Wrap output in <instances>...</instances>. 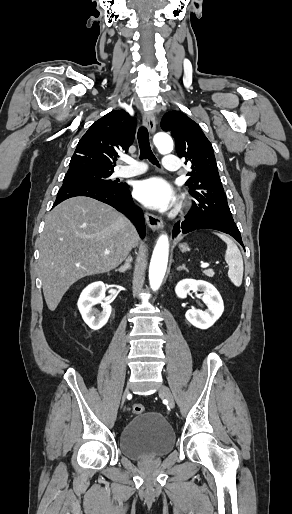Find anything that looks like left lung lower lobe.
<instances>
[{"mask_svg": "<svg viewBox=\"0 0 292 514\" xmlns=\"http://www.w3.org/2000/svg\"><path fill=\"white\" fill-rule=\"evenodd\" d=\"M196 229H214L222 231L231 235L244 247L240 231L232 217L221 215H202L199 208H195V205L193 204L192 208L185 216V220L182 222L179 221L174 225L172 235L173 237H176L180 232L185 234Z\"/></svg>", "mask_w": 292, "mask_h": 514, "instance_id": "obj_1", "label": "left lung lower lobe"}]
</instances>
